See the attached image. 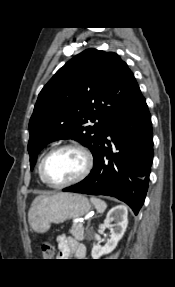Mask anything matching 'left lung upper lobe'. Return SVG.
<instances>
[{
  "mask_svg": "<svg viewBox=\"0 0 175 287\" xmlns=\"http://www.w3.org/2000/svg\"><path fill=\"white\" fill-rule=\"evenodd\" d=\"M137 89L133 73L116 53L87 49L73 57L43 87L35 104L29 122L31 169L39 151L59 139L79 141L94 157L109 124Z\"/></svg>",
  "mask_w": 175,
  "mask_h": 287,
  "instance_id": "obj_1",
  "label": "left lung upper lobe"
}]
</instances>
